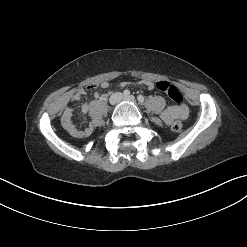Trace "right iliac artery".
<instances>
[{
    "mask_svg": "<svg viewBox=\"0 0 247 247\" xmlns=\"http://www.w3.org/2000/svg\"><path fill=\"white\" fill-rule=\"evenodd\" d=\"M123 95L125 97H128L130 95V91L129 90H124Z\"/></svg>",
    "mask_w": 247,
    "mask_h": 247,
    "instance_id": "1",
    "label": "right iliac artery"
}]
</instances>
